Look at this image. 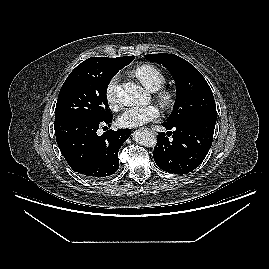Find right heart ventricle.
<instances>
[{
	"label": "right heart ventricle",
	"mask_w": 269,
	"mask_h": 269,
	"mask_svg": "<svg viewBox=\"0 0 269 269\" xmlns=\"http://www.w3.org/2000/svg\"><path fill=\"white\" fill-rule=\"evenodd\" d=\"M134 76L150 91H157L165 84V76L162 71L154 65L144 64L137 67Z\"/></svg>",
	"instance_id": "right-heart-ventricle-1"
}]
</instances>
